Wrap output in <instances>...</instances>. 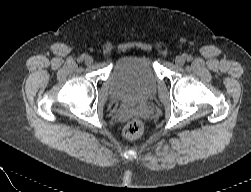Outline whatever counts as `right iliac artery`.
I'll return each mask as SVG.
<instances>
[{
	"instance_id": "right-iliac-artery-1",
	"label": "right iliac artery",
	"mask_w": 251,
	"mask_h": 192,
	"mask_svg": "<svg viewBox=\"0 0 251 192\" xmlns=\"http://www.w3.org/2000/svg\"><path fill=\"white\" fill-rule=\"evenodd\" d=\"M85 57H86L85 54L81 55V56L78 58V61H79V62H82V61L85 59Z\"/></svg>"
}]
</instances>
